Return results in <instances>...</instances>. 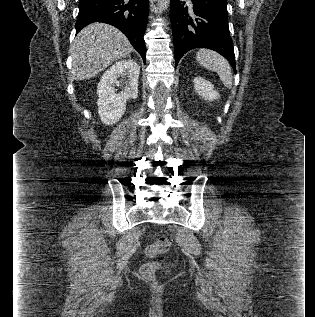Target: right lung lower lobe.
Instances as JSON below:
<instances>
[{
    "mask_svg": "<svg viewBox=\"0 0 315 317\" xmlns=\"http://www.w3.org/2000/svg\"><path fill=\"white\" fill-rule=\"evenodd\" d=\"M149 0H81L76 33L93 22L108 23L122 31L146 62L144 33Z\"/></svg>",
    "mask_w": 315,
    "mask_h": 317,
    "instance_id": "right-lung-lower-lobe-1",
    "label": "right lung lower lobe"
}]
</instances>
